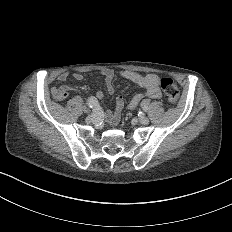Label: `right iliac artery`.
<instances>
[{
    "label": "right iliac artery",
    "mask_w": 232,
    "mask_h": 232,
    "mask_svg": "<svg viewBox=\"0 0 232 232\" xmlns=\"http://www.w3.org/2000/svg\"><path fill=\"white\" fill-rule=\"evenodd\" d=\"M98 104H99V101H98V99L95 96H91L87 100V105L90 108H95L96 106H98Z\"/></svg>",
    "instance_id": "1"
}]
</instances>
